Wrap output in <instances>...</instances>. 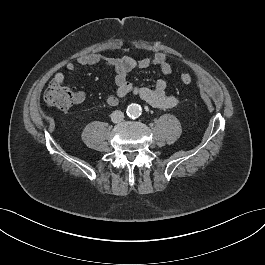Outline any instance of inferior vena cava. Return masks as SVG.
<instances>
[{
	"instance_id": "602c4592",
	"label": "inferior vena cava",
	"mask_w": 265,
	"mask_h": 265,
	"mask_svg": "<svg viewBox=\"0 0 265 265\" xmlns=\"http://www.w3.org/2000/svg\"><path fill=\"white\" fill-rule=\"evenodd\" d=\"M124 114L120 110L113 111L111 114V120L113 123H119L123 120Z\"/></svg>"
}]
</instances>
